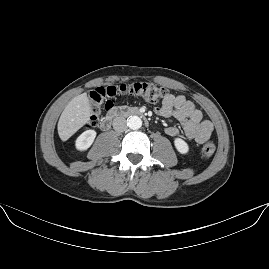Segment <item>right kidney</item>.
<instances>
[{
	"instance_id": "right-kidney-1",
	"label": "right kidney",
	"mask_w": 269,
	"mask_h": 269,
	"mask_svg": "<svg viewBox=\"0 0 269 269\" xmlns=\"http://www.w3.org/2000/svg\"><path fill=\"white\" fill-rule=\"evenodd\" d=\"M95 132L93 130H87L83 132L77 139V148L79 149H86L88 148L93 139L95 138Z\"/></svg>"
}]
</instances>
